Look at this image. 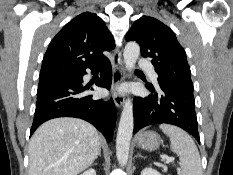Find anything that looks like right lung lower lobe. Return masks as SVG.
Instances as JSON below:
<instances>
[{
    "mask_svg": "<svg viewBox=\"0 0 233 175\" xmlns=\"http://www.w3.org/2000/svg\"><path fill=\"white\" fill-rule=\"evenodd\" d=\"M93 73L102 69L96 85L110 89L112 68L108 59L90 67ZM86 70L69 78L39 86L34 120L30 131L33 132L45 121L57 117L81 118L93 124L110 142L116 123V109L113 99L95 100L92 95H85L83 76ZM93 90V89H92Z\"/></svg>",
    "mask_w": 233,
    "mask_h": 175,
    "instance_id": "obj_1",
    "label": "right lung lower lobe"
}]
</instances>
